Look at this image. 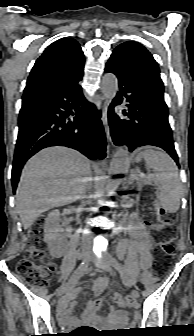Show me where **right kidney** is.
<instances>
[{"mask_svg": "<svg viewBox=\"0 0 194 336\" xmlns=\"http://www.w3.org/2000/svg\"><path fill=\"white\" fill-rule=\"evenodd\" d=\"M62 227L60 225L59 210L51 211L45 219L44 237L48 243L49 251L54 256H60V248L62 244L61 237Z\"/></svg>", "mask_w": 194, "mask_h": 336, "instance_id": "1", "label": "right kidney"}]
</instances>
